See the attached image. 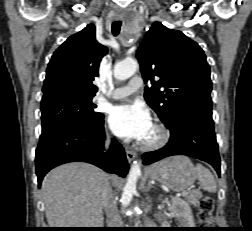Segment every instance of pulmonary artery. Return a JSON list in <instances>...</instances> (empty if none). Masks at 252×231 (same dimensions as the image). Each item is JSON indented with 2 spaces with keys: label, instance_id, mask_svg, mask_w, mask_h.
Segmentation results:
<instances>
[{
  "label": "pulmonary artery",
  "instance_id": "obj_1",
  "mask_svg": "<svg viewBox=\"0 0 252 231\" xmlns=\"http://www.w3.org/2000/svg\"><path fill=\"white\" fill-rule=\"evenodd\" d=\"M142 85L143 81L141 77L138 76L133 77L129 80V82L126 85L114 89L110 95V98L113 100H117L129 96L130 94L140 89Z\"/></svg>",
  "mask_w": 252,
  "mask_h": 231
}]
</instances>
